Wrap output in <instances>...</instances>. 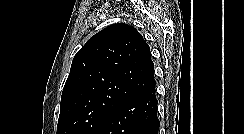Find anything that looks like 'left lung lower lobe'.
<instances>
[{
    "label": "left lung lower lobe",
    "mask_w": 244,
    "mask_h": 134,
    "mask_svg": "<svg viewBox=\"0 0 244 134\" xmlns=\"http://www.w3.org/2000/svg\"><path fill=\"white\" fill-rule=\"evenodd\" d=\"M155 90L132 97L118 106L98 134H158Z\"/></svg>",
    "instance_id": "left-lung-lower-lobe-1"
}]
</instances>
